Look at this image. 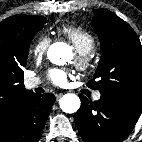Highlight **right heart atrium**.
I'll return each mask as SVG.
<instances>
[{
  "instance_id": "d8ad5b80",
  "label": "right heart atrium",
  "mask_w": 142,
  "mask_h": 142,
  "mask_svg": "<svg viewBox=\"0 0 142 142\" xmlns=\"http://www.w3.org/2000/svg\"><path fill=\"white\" fill-rule=\"evenodd\" d=\"M50 38L46 35L39 36L31 46V54L35 59H41L47 52Z\"/></svg>"
}]
</instances>
